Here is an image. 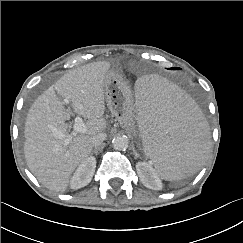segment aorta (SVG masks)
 Instances as JSON below:
<instances>
[{
	"label": "aorta",
	"mask_w": 243,
	"mask_h": 243,
	"mask_svg": "<svg viewBox=\"0 0 243 243\" xmlns=\"http://www.w3.org/2000/svg\"><path fill=\"white\" fill-rule=\"evenodd\" d=\"M128 144H129L128 138L124 135L116 136L112 140V145L115 150H120V151L126 150L128 148Z\"/></svg>",
	"instance_id": "obj_1"
}]
</instances>
